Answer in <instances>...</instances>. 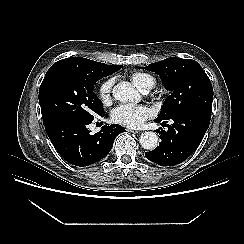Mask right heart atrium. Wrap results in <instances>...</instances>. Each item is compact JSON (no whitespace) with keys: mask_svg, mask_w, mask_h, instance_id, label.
Returning a JSON list of instances; mask_svg holds the SVG:
<instances>
[{"mask_svg":"<svg viewBox=\"0 0 244 244\" xmlns=\"http://www.w3.org/2000/svg\"><path fill=\"white\" fill-rule=\"evenodd\" d=\"M113 80L108 79L101 84L98 90V98L103 105H110L112 101L111 88Z\"/></svg>","mask_w":244,"mask_h":244,"instance_id":"obj_1","label":"right heart atrium"}]
</instances>
